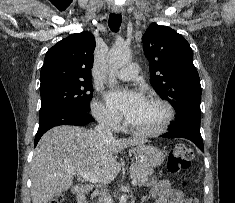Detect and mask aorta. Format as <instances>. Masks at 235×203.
Instances as JSON below:
<instances>
[{
  "label": "aorta",
  "instance_id": "obj_1",
  "mask_svg": "<svg viewBox=\"0 0 235 203\" xmlns=\"http://www.w3.org/2000/svg\"><path fill=\"white\" fill-rule=\"evenodd\" d=\"M132 53L130 48L123 43H116L108 54V63L110 69L109 84L114 85L116 80L113 74L122 66L128 64L131 61ZM120 203H126L125 196H122Z\"/></svg>",
  "mask_w": 235,
  "mask_h": 203
}]
</instances>
